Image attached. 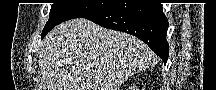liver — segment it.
Returning a JSON list of instances; mask_svg holds the SVG:
<instances>
[{
	"instance_id": "liver-1",
	"label": "liver",
	"mask_w": 216,
	"mask_h": 90,
	"mask_svg": "<svg viewBox=\"0 0 216 90\" xmlns=\"http://www.w3.org/2000/svg\"><path fill=\"white\" fill-rule=\"evenodd\" d=\"M153 56L135 36L85 18L69 20L42 42L41 90H118L134 72L150 66Z\"/></svg>"
}]
</instances>
